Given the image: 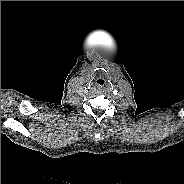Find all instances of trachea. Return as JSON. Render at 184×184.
Listing matches in <instances>:
<instances>
[{
    "label": "trachea",
    "mask_w": 184,
    "mask_h": 184,
    "mask_svg": "<svg viewBox=\"0 0 184 184\" xmlns=\"http://www.w3.org/2000/svg\"><path fill=\"white\" fill-rule=\"evenodd\" d=\"M105 85H106V82H105V80L102 79V78H98V79H96V80L94 81V87H95L96 89H102V88L105 87Z\"/></svg>",
    "instance_id": "1"
}]
</instances>
